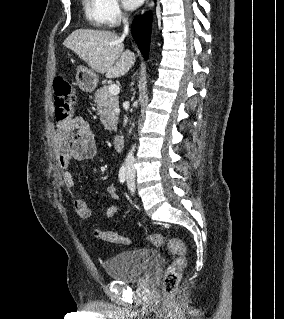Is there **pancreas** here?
<instances>
[{"label":"pancreas","instance_id":"pancreas-1","mask_svg":"<svg viewBox=\"0 0 284 319\" xmlns=\"http://www.w3.org/2000/svg\"><path fill=\"white\" fill-rule=\"evenodd\" d=\"M95 105L97 107L100 121L106 130H116L119 115V101L116 95L108 91V86H104L95 92Z\"/></svg>","mask_w":284,"mask_h":319}]
</instances>
